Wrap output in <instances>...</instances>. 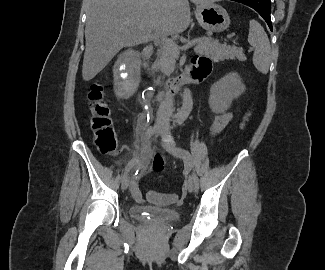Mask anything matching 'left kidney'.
<instances>
[{"label": "left kidney", "mask_w": 325, "mask_h": 270, "mask_svg": "<svg viewBox=\"0 0 325 270\" xmlns=\"http://www.w3.org/2000/svg\"><path fill=\"white\" fill-rule=\"evenodd\" d=\"M237 73H229L210 88L209 106L214 113H224L232 104V100L245 91Z\"/></svg>", "instance_id": "obj_1"}]
</instances>
